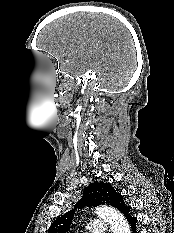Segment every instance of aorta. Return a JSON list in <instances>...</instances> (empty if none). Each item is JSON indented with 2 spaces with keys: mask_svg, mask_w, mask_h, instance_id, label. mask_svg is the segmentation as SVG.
Here are the masks:
<instances>
[{
  "mask_svg": "<svg viewBox=\"0 0 174 233\" xmlns=\"http://www.w3.org/2000/svg\"><path fill=\"white\" fill-rule=\"evenodd\" d=\"M95 212L110 225V229L113 233H130L128 223L125 221L123 215L116 209L108 206H101L96 208Z\"/></svg>",
  "mask_w": 174,
  "mask_h": 233,
  "instance_id": "762f6f07",
  "label": "aorta"
}]
</instances>
